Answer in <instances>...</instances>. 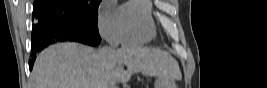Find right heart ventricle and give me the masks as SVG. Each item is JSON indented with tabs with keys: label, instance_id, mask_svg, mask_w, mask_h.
I'll use <instances>...</instances> for the list:
<instances>
[{
	"label": "right heart ventricle",
	"instance_id": "e07e8e85",
	"mask_svg": "<svg viewBox=\"0 0 267 88\" xmlns=\"http://www.w3.org/2000/svg\"><path fill=\"white\" fill-rule=\"evenodd\" d=\"M121 16L123 45H142L155 38L157 29L151 1H128L121 7Z\"/></svg>",
	"mask_w": 267,
	"mask_h": 88
}]
</instances>
